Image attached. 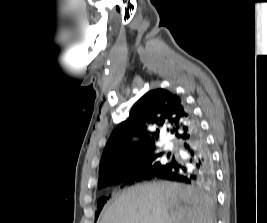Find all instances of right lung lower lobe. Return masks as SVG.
Here are the masks:
<instances>
[{
	"label": "right lung lower lobe",
	"mask_w": 267,
	"mask_h": 223,
	"mask_svg": "<svg viewBox=\"0 0 267 223\" xmlns=\"http://www.w3.org/2000/svg\"><path fill=\"white\" fill-rule=\"evenodd\" d=\"M183 150L186 154L183 159H177L155 176L186 184L212 187L215 181L213 160L198 124L196 134L183 143ZM128 179L127 177L118 178L112 184L127 182Z\"/></svg>",
	"instance_id": "right-lung-lower-lobe-1"
}]
</instances>
